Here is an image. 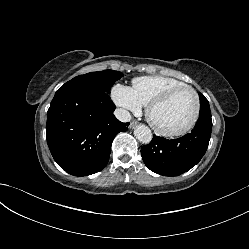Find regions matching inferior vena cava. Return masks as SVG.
Instances as JSON below:
<instances>
[{
	"instance_id": "1",
	"label": "inferior vena cava",
	"mask_w": 249,
	"mask_h": 249,
	"mask_svg": "<svg viewBox=\"0 0 249 249\" xmlns=\"http://www.w3.org/2000/svg\"><path fill=\"white\" fill-rule=\"evenodd\" d=\"M114 115L121 122H129L131 119L130 113L127 110L122 109V108L116 109L114 112Z\"/></svg>"
}]
</instances>
